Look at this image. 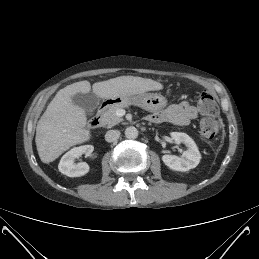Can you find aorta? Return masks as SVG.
I'll use <instances>...</instances> for the list:
<instances>
[{
    "label": "aorta",
    "instance_id": "aorta-1",
    "mask_svg": "<svg viewBox=\"0 0 259 259\" xmlns=\"http://www.w3.org/2000/svg\"><path fill=\"white\" fill-rule=\"evenodd\" d=\"M125 136L128 139H136L138 137V130L133 126L127 127L125 130Z\"/></svg>",
    "mask_w": 259,
    "mask_h": 259
}]
</instances>
